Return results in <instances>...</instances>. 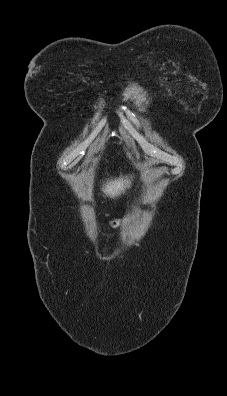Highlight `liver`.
<instances>
[{"mask_svg":"<svg viewBox=\"0 0 227 396\" xmlns=\"http://www.w3.org/2000/svg\"><path fill=\"white\" fill-rule=\"evenodd\" d=\"M130 182L128 179L119 178L115 180H110L105 184L102 188L103 192L110 196L111 198L119 196L122 192L125 191L127 187H129Z\"/></svg>","mask_w":227,"mask_h":396,"instance_id":"liver-1","label":"liver"}]
</instances>
